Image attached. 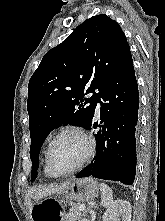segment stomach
Wrapping results in <instances>:
<instances>
[{"label":"stomach","instance_id":"1","mask_svg":"<svg viewBox=\"0 0 165 221\" xmlns=\"http://www.w3.org/2000/svg\"><path fill=\"white\" fill-rule=\"evenodd\" d=\"M63 200H36L31 217H70L71 205L93 200L98 195V184L91 178L74 179L59 191ZM34 221H68V218H34Z\"/></svg>","mask_w":165,"mask_h":221}]
</instances>
